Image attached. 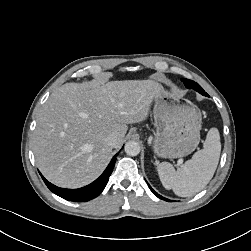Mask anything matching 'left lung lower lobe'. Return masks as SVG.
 <instances>
[{
    "label": "left lung lower lobe",
    "mask_w": 251,
    "mask_h": 251,
    "mask_svg": "<svg viewBox=\"0 0 251 251\" xmlns=\"http://www.w3.org/2000/svg\"><path fill=\"white\" fill-rule=\"evenodd\" d=\"M148 186H149L150 190H151L158 198L170 202L169 199H166V198L160 196L159 194H157V193L151 188V186H150L149 184H148Z\"/></svg>",
    "instance_id": "0a47b994"
}]
</instances>
